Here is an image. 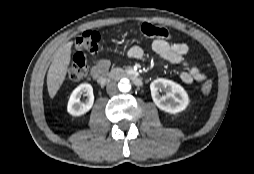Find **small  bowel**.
Listing matches in <instances>:
<instances>
[{"mask_svg":"<svg viewBox=\"0 0 254 174\" xmlns=\"http://www.w3.org/2000/svg\"><path fill=\"white\" fill-rule=\"evenodd\" d=\"M151 47L162 61L172 64L187 62L186 56L189 48L186 43H170L166 40L156 39L152 41ZM144 55V50L139 46H134L128 51V57L133 59H142ZM108 68L109 62L107 60H97L91 70L92 76L97 77L100 74H104L107 72ZM180 78L184 83L189 84L193 81H204L206 75L198 66L192 65L188 70H184L180 73Z\"/></svg>","mask_w":254,"mask_h":174,"instance_id":"small-bowel-1","label":"small bowel"}]
</instances>
